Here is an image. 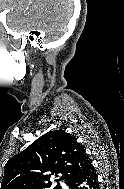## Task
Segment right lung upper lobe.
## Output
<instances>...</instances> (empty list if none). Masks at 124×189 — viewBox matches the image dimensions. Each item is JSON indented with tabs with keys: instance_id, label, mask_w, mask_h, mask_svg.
Wrapping results in <instances>:
<instances>
[{
	"instance_id": "1",
	"label": "right lung upper lobe",
	"mask_w": 124,
	"mask_h": 189,
	"mask_svg": "<svg viewBox=\"0 0 124 189\" xmlns=\"http://www.w3.org/2000/svg\"><path fill=\"white\" fill-rule=\"evenodd\" d=\"M90 162L76 138L64 130L50 131L8 160L1 189H38L57 174L67 181Z\"/></svg>"
}]
</instances>
